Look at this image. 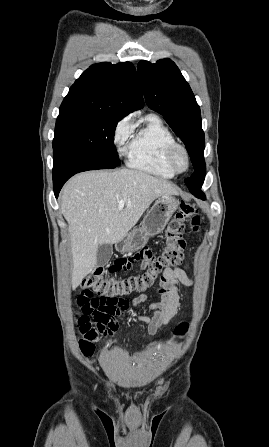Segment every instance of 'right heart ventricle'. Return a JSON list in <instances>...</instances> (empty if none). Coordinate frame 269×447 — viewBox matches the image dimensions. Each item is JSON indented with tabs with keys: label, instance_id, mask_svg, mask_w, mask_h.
<instances>
[{
	"label": "right heart ventricle",
	"instance_id": "1",
	"mask_svg": "<svg viewBox=\"0 0 269 447\" xmlns=\"http://www.w3.org/2000/svg\"><path fill=\"white\" fill-rule=\"evenodd\" d=\"M176 143L172 131L156 116L147 114L134 134L127 152V165L163 178L176 172L169 166L167 155Z\"/></svg>",
	"mask_w": 269,
	"mask_h": 447
}]
</instances>
